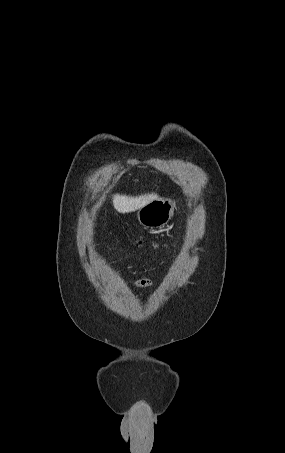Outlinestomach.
<instances>
[{"label":"stomach","mask_w":285,"mask_h":453,"mask_svg":"<svg viewBox=\"0 0 285 453\" xmlns=\"http://www.w3.org/2000/svg\"><path fill=\"white\" fill-rule=\"evenodd\" d=\"M175 203L169 198H155L137 211V220L145 228L164 227L172 218Z\"/></svg>","instance_id":"obj_1"}]
</instances>
